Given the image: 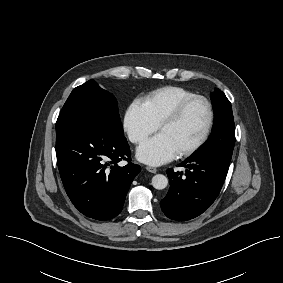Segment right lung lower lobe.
Wrapping results in <instances>:
<instances>
[{
  "label": "right lung lower lobe",
  "mask_w": 283,
  "mask_h": 283,
  "mask_svg": "<svg viewBox=\"0 0 283 283\" xmlns=\"http://www.w3.org/2000/svg\"><path fill=\"white\" fill-rule=\"evenodd\" d=\"M56 156L71 202L82 214L97 220L120 213L141 170L130 162L124 134L98 120L83 121L56 134ZM122 160L128 164L119 166Z\"/></svg>",
  "instance_id": "98d812e1"
}]
</instances>
